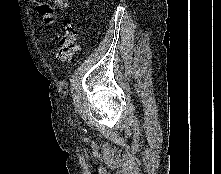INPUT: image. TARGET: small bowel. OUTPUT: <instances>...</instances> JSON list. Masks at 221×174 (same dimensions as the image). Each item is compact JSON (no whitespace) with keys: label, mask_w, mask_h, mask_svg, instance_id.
Segmentation results:
<instances>
[{"label":"small bowel","mask_w":221,"mask_h":174,"mask_svg":"<svg viewBox=\"0 0 221 174\" xmlns=\"http://www.w3.org/2000/svg\"><path fill=\"white\" fill-rule=\"evenodd\" d=\"M37 2L36 11L41 17L43 25H51L55 21V9L52 5L47 3L38 2V0H32ZM52 3L60 9H67L69 6V0H51Z\"/></svg>","instance_id":"obj_1"}]
</instances>
